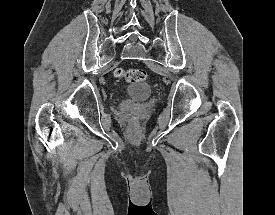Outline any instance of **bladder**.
I'll return each instance as SVG.
<instances>
[{
  "mask_svg": "<svg viewBox=\"0 0 275 215\" xmlns=\"http://www.w3.org/2000/svg\"><path fill=\"white\" fill-rule=\"evenodd\" d=\"M127 94L134 98L147 99L152 93V88L149 85L134 83L127 87Z\"/></svg>",
  "mask_w": 275,
  "mask_h": 215,
  "instance_id": "1",
  "label": "bladder"
}]
</instances>
